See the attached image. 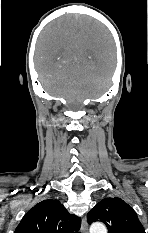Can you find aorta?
I'll use <instances>...</instances> for the list:
<instances>
[{
    "instance_id": "obj_1",
    "label": "aorta",
    "mask_w": 148,
    "mask_h": 233,
    "mask_svg": "<svg viewBox=\"0 0 148 233\" xmlns=\"http://www.w3.org/2000/svg\"><path fill=\"white\" fill-rule=\"evenodd\" d=\"M90 233H107V229L103 223L96 222L91 225Z\"/></svg>"
}]
</instances>
